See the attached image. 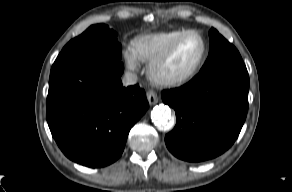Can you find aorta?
Instances as JSON below:
<instances>
[{
  "label": "aorta",
  "mask_w": 292,
  "mask_h": 192,
  "mask_svg": "<svg viewBox=\"0 0 292 192\" xmlns=\"http://www.w3.org/2000/svg\"><path fill=\"white\" fill-rule=\"evenodd\" d=\"M152 122L163 131H168L172 128L171 109L163 104L157 105L151 111Z\"/></svg>",
  "instance_id": "aorta-1"
}]
</instances>
